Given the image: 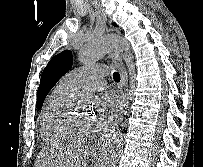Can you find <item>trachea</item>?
Segmentation results:
<instances>
[{
  "label": "trachea",
  "instance_id": "1",
  "mask_svg": "<svg viewBox=\"0 0 203 167\" xmlns=\"http://www.w3.org/2000/svg\"><path fill=\"white\" fill-rule=\"evenodd\" d=\"M113 79L115 82H119L120 81V74L118 72H114L113 73Z\"/></svg>",
  "mask_w": 203,
  "mask_h": 167
}]
</instances>
